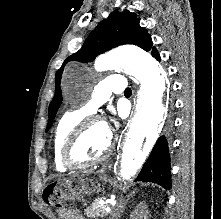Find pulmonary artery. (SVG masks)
Returning a JSON list of instances; mask_svg holds the SVG:
<instances>
[{
  "label": "pulmonary artery",
  "mask_w": 221,
  "mask_h": 219,
  "mask_svg": "<svg viewBox=\"0 0 221 219\" xmlns=\"http://www.w3.org/2000/svg\"><path fill=\"white\" fill-rule=\"evenodd\" d=\"M125 90V76L121 74L111 75L94 89L89 101L80 110L85 113H93L109 99L112 93L122 94Z\"/></svg>",
  "instance_id": "1"
}]
</instances>
